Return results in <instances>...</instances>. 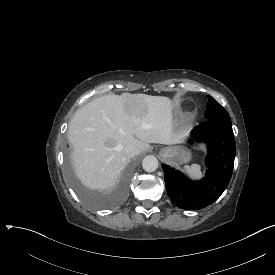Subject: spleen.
<instances>
[{
  "label": "spleen",
  "instance_id": "3e777b00",
  "mask_svg": "<svg viewBox=\"0 0 275 275\" xmlns=\"http://www.w3.org/2000/svg\"><path fill=\"white\" fill-rule=\"evenodd\" d=\"M186 171L194 178H200L202 176L201 167L198 164H192L191 166H185Z\"/></svg>",
  "mask_w": 275,
  "mask_h": 275
}]
</instances>
